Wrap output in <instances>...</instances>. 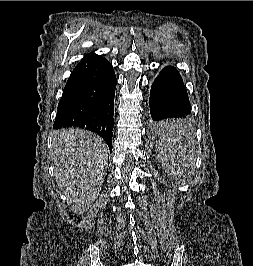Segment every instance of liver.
Instances as JSON below:
<instances>
[{"instance_id": "1", "label": "liver", "mask_w": 253, "mask_h": 266, "mask_svg": "<svg viewBox=\"0 0 253 266\" xmlns=\"http://www.w3.org/2000/svg\"><path fill=\"white\" fill-rule=\"evenodd\" d=\"M104 140L84 129H61L52 139L55 179L71 211L82 215L98 197L108 166Z\"/></svg>"}]
</instances>
